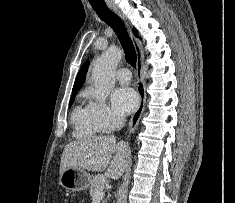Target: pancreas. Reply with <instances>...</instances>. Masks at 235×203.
<instances>
[{"instance_id":"1","label":"pancreas","mask_w":235,"mask_h":203,"mask_svg":"<svg viewBox=\"0 0 235 203\" xmlns=\"http://www.w3.org/2000/svg\"><path fill=\"white\" fill-rule=\"evenodd\" d=\"M108 180L105 175L97 174L93 179L91 183V187L89 190L90 196L93 197L96 191L103 190L105 186L107 185ZM103 203H105L103 201Z\"/></svg>"}]
</instances>
